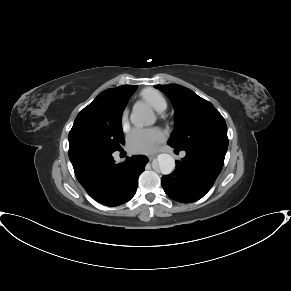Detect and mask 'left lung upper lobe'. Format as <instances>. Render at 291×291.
Returning a JSON list of instances; mask_svg holds the SVG:
<instances>
[{
    "label": "left lung upper lobe",
    "instance_id": "left-lung-upper-lobe-1",
    "mask_svg": "<svg viewBox=\"0 0 291 291\" xmlns=\"http://www.w3.org/2000/svg\"><path fill=\"white\" fill-rule=\"evenodd\" d=\"M175 109V130L168 145L184 150L190 146L228 147L227 126L222 115L207 100L181 85H156Z\"/></svg>",
    "mask_w": 291,
    "mask_h": 291
}]
</instances>
